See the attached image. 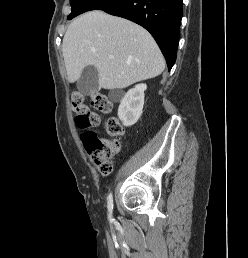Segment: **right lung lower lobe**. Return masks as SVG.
Masks as SVG:
<instances>
[{
	"instance_id": "obj_1",
	"label": "right lung lower lobe",
	"mask_w": 248,
	"mask_h": 258,
	"mask_svg": "<svg viewBox=\"0 0 248 258\" xmlns=\"http://www.w3.org/2000/svg\"><path fill=\"white\" fill-rule=\"evenodd\" d=\"M98 10L131 20L148 30L160 47L168 70L172 68L180 36L182 0H112Z\"/></svg>"
}]
</instances>
